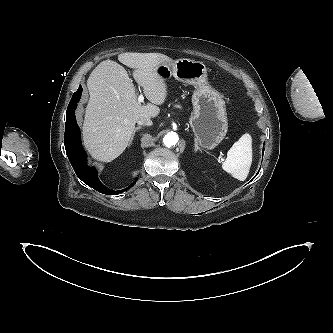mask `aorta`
Instances as JSON below:
<instances>
[{
    "mask_svg": "<svg viewBox=\"0 0 333 333\" xmlns=\"http://www.w3.org/2000/svg\"><path fill=\"white\" fill-rule=\"evenodd\" d=\"M178 140V135L175 132H169L164 136L163 143L166 147H171L175 146Z\"/></svg>",
    "mask_w": 333,
    "mask_h": 333,
    "instance_id": "obj_1",
    "label": "aorta"
}]
</instances>
